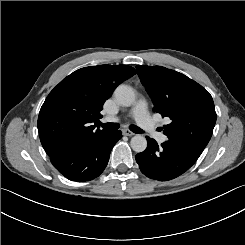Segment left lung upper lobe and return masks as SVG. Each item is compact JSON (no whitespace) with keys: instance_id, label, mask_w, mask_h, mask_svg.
Wrapping results in <instances>:
<instances>
[{"instance_id":"5c2ea615","label":"left lung upper lobe","mask_w":245,"mask_h":245,"mask_svg":"<svg viewBox=\"0 0 245 245\" xmlns=\"http://www.w3.org/2000/svg\"><path fill=\"white\" fill-rule=\"evenodd\" d=\"M136 68L154 110L171 119L163 133L168 139L202 153L217 118L209 92L184 74L165 67L137 65Z\"/></svg>"}]
</instances>
